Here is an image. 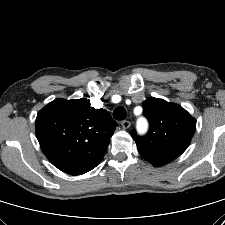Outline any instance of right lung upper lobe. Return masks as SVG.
Masks as SVG:
<instances>
[{"mask_svg": "<svg viewBox=\"0 0 225 225\" xmlns=\"http://www.w3.org/2000/svg\"><path fill=\"white\" fill-rule=\"evenodd\" d=\"M117 126L108 111L87 99H55L37 114L35 128L41 149L61 171L81 175L102 160Z\"/></svg>", "mask_w": 225, "mask_h": 225, "instance_id": "right-lung-upper-lobe-1", "label": "right lung upper lobe"}]
</instances>
